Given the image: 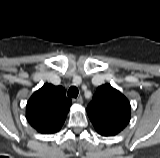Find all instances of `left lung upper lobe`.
<instances>
[{
  "label": "left lung upper lobe",
  "instance_id": "left-lung-upper-lobe-1",
  "mask_svg": "<svg viewBox=\"0 0 160 158\" xmlns=\"http://www.w3.org/2000/svg\"><path fill=\"white\" fill-rule=\"evenodd\" d=\"M130 110L127 98L107 83L97 88L87 114L95 129L114 136L128 125Z\"/></svg>",
  "mask_w": 160,
  "mask_h": 158
}]
</instances>
